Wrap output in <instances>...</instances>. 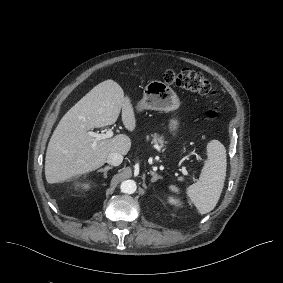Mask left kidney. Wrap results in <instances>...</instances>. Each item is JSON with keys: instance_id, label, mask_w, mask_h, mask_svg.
I'll return each mask as SVG.
<instances>
[{"instance_id": "obj_1", "label": "left kidney", "mask_w": 283, "mask_h": 283, "mask_svg": "<svg viewBox=\"0 0 283 283\" xmlns=\"http://www.w3.org/2000/svg\"><path fill=\"white\" fill-rule=\"evenodd\" d=\"M169 202L174 205H180V201L177 199H174L173 197H169Z\"/></svg>"}]
</instances>
